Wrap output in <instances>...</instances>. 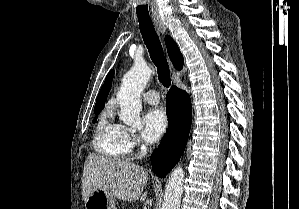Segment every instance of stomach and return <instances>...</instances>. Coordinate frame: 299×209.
<instances>
[{
	"label": "stomach",
	"mask_w": 299,
	"mask_h": 209,
	"mask_svg": "<svg viewBox=\"0 0 299 209\" xmlns=\"http://www.w3.org/2000/svg\"><path fill=\"white\" fill-rule=\"evenodd\" d=\"M85 209H116L115 198L104 190H96L86 199Z\"/></svg>",
	"instance_id": "stomach-1"
}]
</instances>
